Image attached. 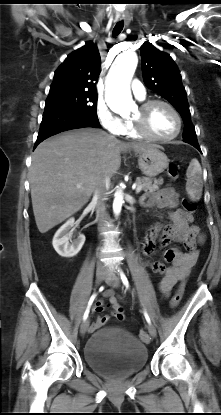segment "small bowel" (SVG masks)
<instances>
[{"mask_svg": "<svg viewBox=\"0 0 221 415\" xmlns=\"http://www.w3.org/2000/svg\"><path fill=\"white\" fill-rule=\"evenodd\" d=\"M142 203L150 208L166 210L169 212L171 224L164 227L155 225L151 227L145 237L142 253L149 256L153 253L157 239L160 248L164 250V262H145L152 271L162 273L164 276L158 285L159 291L168 295L173 286L183 280L198 258V246L202 244L203 237L195 227H189L193 217L186 207H179V196L172 188H164L156 192L147 193ZM160 233V235H159ZM173 242L182 243L186 251L177 248H169ZM106 302H96L94 311L100 315L91 324V329H97L106 324L110 319H124L123 309L113 290L104 293ZM110 309L109 314H103L104 310Z\"/></svg>", "mask_w": 221, "mask_h": 415, "instance_id": "c3829d8e", "label": "small bowel"}]
</instances>
